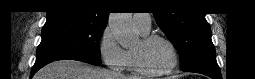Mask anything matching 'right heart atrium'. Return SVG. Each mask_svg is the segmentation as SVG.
Here are the masks:
<instances>
[{
	"label": "right heart atrium",
	"mask_w": 255,
	"mask_h": 79,
	"mask_svg": "<svg viewBox=\"0 0 255 79\" xmlns=\"http://www.w3.org/2000/svg\"><path fill=\"white\" fill-rule=\"evenodd\" d=\"M99 52L104 63L113 70L120 72L126 67V50L117 43L109 28H105L100 37Z\"/></svg>",
	"instance_id": "1"
}]
</instances>
